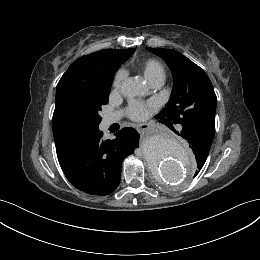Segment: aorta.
Listing matches in <instances>:
<instances>
[{
  "label": "aorta",
  "mask_w": 260,
  "mask_h": 260,
  "mask_svg": "<svg viewBox=\"0 0 260 260\" xmlns=\"http://www.w3.org/2000/svg\"><path fill=\"white\" fill-rule=\"evenodd\" d=\"M121 92L130 98L143 95L145 85L137 78H129L123 82ZM142 151L154 177L165 184H177L192 174L189 152L168 132L148 136Z\"/></svg>",
  "instance_id": "obj_1"
}]
</instances>
